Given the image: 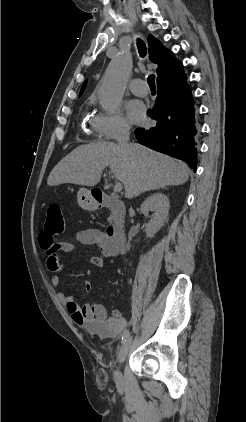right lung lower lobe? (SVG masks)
<instances>
[{
    "label": "right lung lower lobe",
    "instance_id": "98d812e1",
    "mask_svg": "<svg viewBox=\"0 0 246 422\" xmlns=\"http://www.w3.org/2000/svg\"><path fill=\"white\" fill-rule=\"evenodd\" d=\"M186 79L184 74L158 85L156 104L148 111L149 117L157 121L156 126L136 129L135 137L140 144L180 159L196 171L199 126Z\"/></svg>",
    "mask_w": 246,
    "mask_h": 422
}]
</instances>
